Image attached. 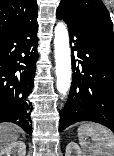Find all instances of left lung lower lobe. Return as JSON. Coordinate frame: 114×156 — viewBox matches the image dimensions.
<instances>
[{
	"mask_svg": "<svg viewBox=\"0 0 114 156\" xmlns=\"http://www.w3.org/2000/svg\"><path fill=\"white\" fill-rule=\"evenodd\" d=\"M69 29L72 51L73 80L68 100L60 111V130L73 123L93 121L114 132V41L73 20L57 9Z\"/></svg>",
	"mask_w": 114,
	"mask_h": 156,
	"instance_id": "0a47b994",
	"label": "left lung lower lobe"
}]
</instances>
